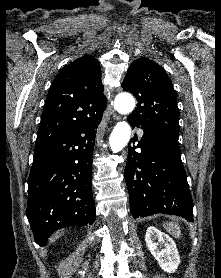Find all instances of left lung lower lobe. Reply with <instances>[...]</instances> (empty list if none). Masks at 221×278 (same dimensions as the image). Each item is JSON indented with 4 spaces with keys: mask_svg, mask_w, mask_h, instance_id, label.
Returning a JSON list of instances; mask_svg holds the SVG:
<instances>
[{
    "mask_svg": "<svg viewBox=\"0 0 221 278\" xmlns=\"http://www.w3.org/2000/svg\"><path fill=\"white\" fill-rule=\"evenodd\" d=\"M133 127H141L128 117ZM129 142L125 181L134 218L156 213L177 215L193 222V201L181 161L178 137L173 131H149L141 127ZM138 142L135 146L130 143ZM140 148L141 152L135 149Z\"/></svg>",
    "mask_w": 221,
    "mask_h": 278,
    "instance_id": "0a47b994",
    "label": "left lung lower lobe"
}]
</instances>
